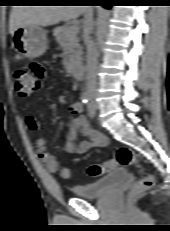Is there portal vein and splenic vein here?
<instances>
[{
    "instance_id": "portal-vein-and-splenic-vein-1",
    "label": "portal vein and splenic vein",
    "mask_w": 170,
    "mask_h": 231,
    "mask_svg": "<svg viewBox=\"0 0 170 231\" xmlns=\"http://www.w3.org/2000/svg\"><path fill=\"white\" fill-rule=\"evenodd\" d=\"M78 32H79V27L76 24L71 25L67 31V33L70 35H76Z\"/></svg>"
}]
</instances>
